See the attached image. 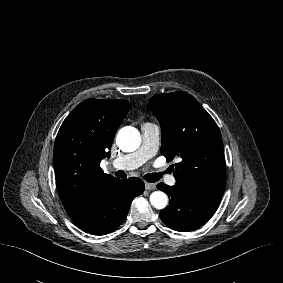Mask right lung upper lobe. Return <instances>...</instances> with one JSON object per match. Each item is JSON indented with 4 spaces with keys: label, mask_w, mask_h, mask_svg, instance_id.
<instances>
[{
    "label": "right lung upper lobe",
    "mask_w": 283,
    "mask_h": 283,
    "mask_svg": "<svg viewBox=\"0 0 283 283\" xmlns=\"http://www.w3.org/2000/svg\"><path fill=\"white\" fill-rule=\"evenodd\" d=\"M129 110L122 99H87L62 123L54 144V168L62 202L76 218L117 178L100 162Z\"/></svg>",
    "instance_id": "1"
}]
</instances>
